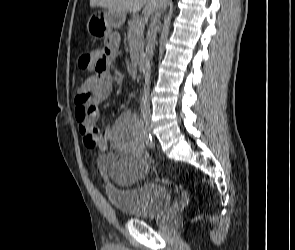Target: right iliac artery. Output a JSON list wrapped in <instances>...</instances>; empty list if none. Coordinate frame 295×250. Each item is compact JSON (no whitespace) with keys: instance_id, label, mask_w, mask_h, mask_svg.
Segmentation results:
<instances>
[{"instance_id":"obj_1","label":"right iliac artery","mask_w":295,"mask_h":250,"mask_svg":"<svg viewBox=\"0 0 295 250\" xmlns=\"http://www.w3.org/2000/svg\"><path fill=\"white\" fill-rule=\"evenodd\" d=\"M140 122H142V121L140 120ZM141 126H142V133L145 134V141H146L145 147L146 148H152L153 147V144L152 143H148V142L152 141L151 134H150L149 131H147V128L144 126V123L143 122L141 123ZM149 153L150 154H153L154 153V150L153 149H150L149 150Z\"/></svg>"}]
</instances>
